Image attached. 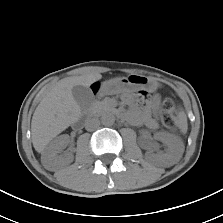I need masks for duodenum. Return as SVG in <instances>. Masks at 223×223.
Listing matches in <instances>:
<instances>
[{
  "mask_svg": "<svg viewBox=\"0 0 223 223\" xmlns=\"http://www.w3.org/2000/svg\"><path fill=\"white\" fill-rule=\"evenodd\" d=\"M81 123L79 121L75 122L74 126H79Z\"/></svg>",
  "mask_w": 223,
  "mask_h": 223,
  "instance_id": "1",
  "label": "duodenum"
}]
</instances>
